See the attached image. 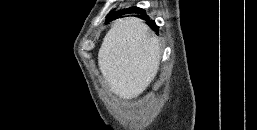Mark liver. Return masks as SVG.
<instances>
[{"label":"liver","instance_id":"obj_1","mask_svg":"<svg viewBox=\"0 0 257 130\" xmlns=\"http://www.w3.org/2000/svg\"><path fill=\"white\" fill-rule=\"evenodd\" d=\"M159 40L139 18L116 20L103 39L98 64L110 91L124 100L138 97L155 78Z\"/></svg>","mask_w":257,"mask_h":130}]
</instances>
